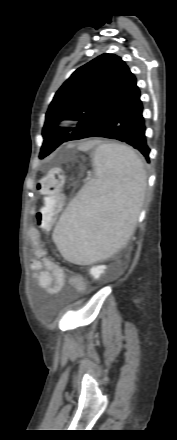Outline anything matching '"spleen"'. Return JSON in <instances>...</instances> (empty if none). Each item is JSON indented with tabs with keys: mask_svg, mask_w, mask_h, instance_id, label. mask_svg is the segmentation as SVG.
<instances>
[{
	"mask_svg": "<svg viewBox=\"0 0 177 440\" xmlns=\"http://www.w3.org/2000/svg\"><path fill=\"white\" fill-rule=\"evenodd\" d=\"M89 181L62 213L52 238L62 256L91 264L118 252L135 229L144 196V165L124 145L99 146Z\"/></svg>",
	"mask_w": 177,
	"mask_h": 440,
	"instance_id": "1",
	"label": "spleen"
}]
</instances>
